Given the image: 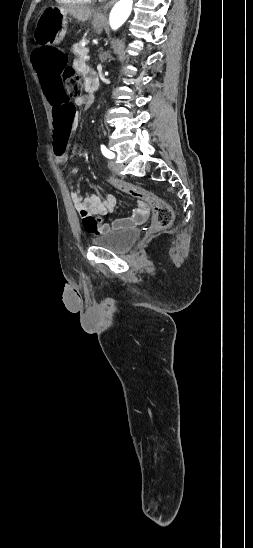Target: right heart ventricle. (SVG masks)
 <instances>
[{
    "label": "right heart ventricle",
    "mask_w": 253,
    "mask_h": 548,
    "mask_svg": "<svg viewBox=\"0 0 253 548\" xmlns=\"http://www.w3.org/2000/svg\"><path fill=\"white\" fill-rule=\"evenodd\" d=\"M56 1L64 5H77V4H86L91 2V0H56Z\"/></svg>",
    "instance_id": "e07e8e85"
}]
</instances>
